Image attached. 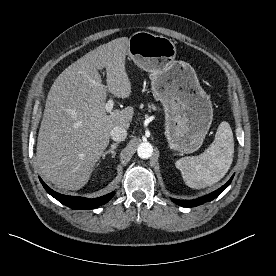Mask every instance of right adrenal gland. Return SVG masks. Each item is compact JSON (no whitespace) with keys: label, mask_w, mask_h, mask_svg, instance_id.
Wrapping results in <instances>:
<instances>
[{"label":"right adrenal gland","mask_w":276,"mask_h":276,"mask_svg":"<svg viewBox=\"0 0 276 276\" xmlns=\"http://www.w3.org/2000/svg\"><path fill=\"white\" fill-rule=\"evenodd\" d=\"M119 142L111 144L109 150L105 151L102 155V159L104 160L108 154H112V158H115L116 152L115 149L117 148Z\"/></svg>","instance_id":"obj_1"}]
</instances>
